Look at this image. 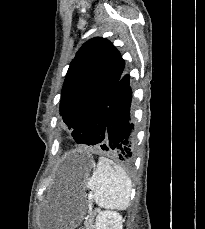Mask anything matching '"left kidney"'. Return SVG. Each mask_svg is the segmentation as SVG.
<instances>
[{"mask_svg":"<svg viewBox=\"0 0 205 229\" xmlns=\"http://www.w3.org/2000/svg\"><path fill=\"white\" fill-rule=\"evenodd\" d=\"M95 223L96 229H123L122 216L116 211H101Z\"/></svg>","mask_w":205,"mask_h":229,"instance_id":"5707ae66","label":"left kidney"}]
</instances>
